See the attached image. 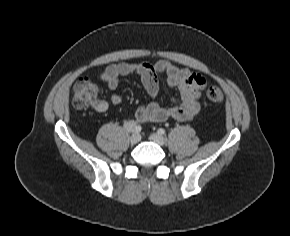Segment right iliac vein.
Wrapping results in <instances>:
<instances>
[{
  "mask_svg": "<svg viewBox=\"0 0 290 236\" xmlns=\"http://www.w3.org/2000/svg\"><path fill=\"white\" fill-rule=\"evenodd\" d=\"M140 139H141V136H140L139 133H133V134L131 135V137H130V141H131V143H133V144L138 143V142L140 141Z\"/></svg>",
  "mask_w": 290,
  "mask_h": 236,
  "instance_id": "63e3f726",
  "label": "right iliac vein"
}]
</instances>
